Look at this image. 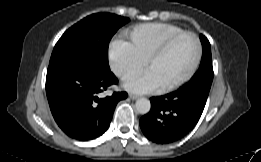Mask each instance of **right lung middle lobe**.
Returning a JSON list of instances; mask_svg holds the SVG:
<instances>
[{
    "label": "right lung middle lobe",
    "instance_id": "1",
    "mask_svg": "<svg viewBox=\"0 0 261 162\" xmlns=\"http://www.w3.org/2000/svg\"><path fill=\"white\" fill-rule=\"evenodd\" d=\"M129 21L111 13L90 15L69 28L55 45L49 65L72 58H90L108 64V46L116 31Z\"/></svg>",
    "mask_w": 261,
    "mask_h": 162
}]
</instances>
